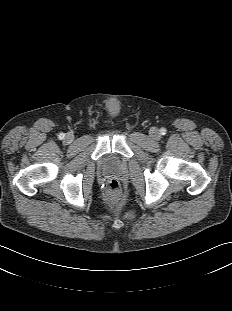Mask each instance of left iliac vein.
<instances>
[{
	"instance_id": "4c4485c4",
	"label": "left iliac vein",
	"mask_w": 232,
	"mask_h": 311,
	"mask_svg": "<svg viewBox=\"0 0 232 311\" xmlns=\"http://www.w3.org/2000/svg\"><path fill=\"white\" fill-rule=\"evenodd\" d=\"M149 134H150V137L153 139H159L160 138V134L156 128H152L150 130Z\"/></svg>"
}]
</instances>
